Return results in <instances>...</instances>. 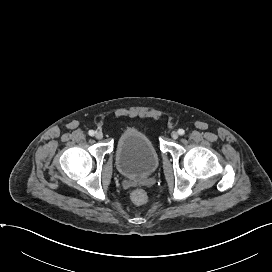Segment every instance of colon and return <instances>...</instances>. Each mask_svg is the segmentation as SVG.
<instances>
[{
  "instance_id": "colon-1",
  "label": "colon",
  "mask_w": 272,
  "mask_h": 272,
  "mask_svg": "<svg viewBox=\"0 0 272 272\" xmlns=\"http://www.w3.org/2000/svg\"><path fill=\"white\" fill-rule=\"evenodd\" d=\"M131 199L137 205H144L147 203L148 197L143 190L137 189L132 192Z\"/></svg>"
}]
</instances>
